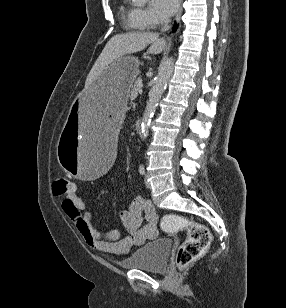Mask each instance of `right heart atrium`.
Segmentation results:
<instances>
[{"label": "right heart atrium", "instance_id": "right-heart-atrium-1", "mask_svg": "<svg viewBox=\"0 0 286 308\" xmlns=\"http://www.w3.org/2000/svg\"><path fill=\"white\" fill-rule=\"evenodd\" d=\"M138 16L140 24L146 29L157 27L164 22L163 18L159 17L152 10L147 8L139 9Z\"/></svg>", "mask_w": 286, "mask_h": 308}]
</instances>
